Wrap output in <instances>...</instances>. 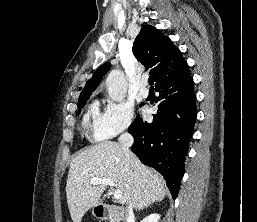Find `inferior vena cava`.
<instances>
[{
  "mask_svg": "<svg viewBox=\"0 0 257 222\" xmlns=\"http://www.w3.org/2000/svg\"><path fill=\"white\" fill-rule=\"evenodd\" d=\"M119 144L121 145L122 149H123V152L126 156V158L128 160L131 159V151H130V147L132 146L133 142H134V139L132 137L131 134H129L128 132H124L122 135H120L119 139ZM128 209V212L129 213H132V210H133V204L131 203L129 205V207H127Z\"/></svg>",
  "mask_w": 257,
  "mask_h": 222,
  "instance_id": "inferior-vena-cava-1",
  "label": "inferior vena cava"
}]
</instances>
